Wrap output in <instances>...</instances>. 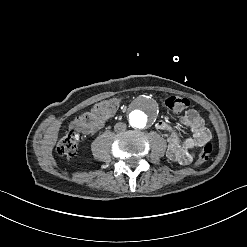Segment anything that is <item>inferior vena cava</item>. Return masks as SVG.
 <instances>
[{
	"label": "inferior vena cava",
	"mask_w": 247,
	"mask_h": 247,
	"mask_svg": "<svg viewBox=\"0 0 247 247\" xmlns=\"http://www.w3.org/2000/svg\"><path fill=\"white\" fill-rule=\"evenodd\" d=\"M127 125L123 122L117 123L114 127L115 131L120 133L126 130Z\"/></svg>",
	"instance_id": "inferior-vena-cava-1"
}]
</instances>
